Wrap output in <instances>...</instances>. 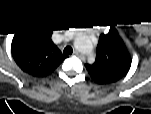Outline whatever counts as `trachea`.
<instances>
[{"mask_svg":"<svg viewBox=\"0 0 151 114\" xmlns=\"http://www.w3.org/2000/svg\"><path fill=\"white\" fill-rule=\"evenodd\" d=\"M63 52L64 54H72L73 50L70 46H67Z\"/></svg>","mask_w":151,"mask_h":114,"instance_id":"1","label":"trachea"}]
</instances>
